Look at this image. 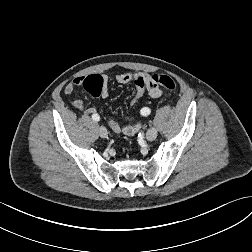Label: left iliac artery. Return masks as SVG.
I'll use <instances>...</instances> for the list:
<instances>
[{
  "label": "left iliac artery",
  "instance_id": "1",
  "mask_svg": "<svg viewBox=\"0 0 252 252\" xmlns=\"http://www.w3.org/2000/svg\"><path fill=\"white\" fill-rule=\"evenodd\" d=\"M139 114L142 119H145L148 114H150V109H148L147 107H143L140 109Z\"/></svg>",
  "mask_w": 252,
  "mask_h": 252
}]
</instances>
